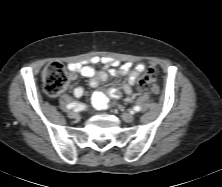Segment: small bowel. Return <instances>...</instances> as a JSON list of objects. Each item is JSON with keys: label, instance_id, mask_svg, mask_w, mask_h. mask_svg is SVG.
<instances>
[{"label": "small bowel", "instance_id": "small-bowel-1", "mask_svg": "<svg viewBox=\"0 0 222 187\" xmlns=\"http://www.w3.org/2000/svg\"><path fill=\"white\" fill-rule=\"evenodd\" d=\"M103 64L104 69L96 70L91 64ZM70 71V78L75 80L77 75H82L89 79L92 87H97L101 82L107 80L109 76L126 75L127 81L120 87H111L106 90H97L92 95V104L98 109H107L110 105V99L117 100L122 94L131 96L132 87L137 81L140 74L144 71L145 65L142 63L132 65L130 62H120L111 57H97L90 58L85 63H71L68 65ZM73 94L76 97H81L84 94L82 86L74 84Z\"/></svg>", "mask_w": 222, "mask_h": 187}]
</instances>
